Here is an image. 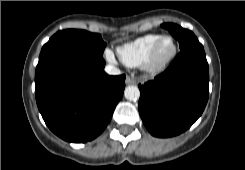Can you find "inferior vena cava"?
Returning a JSON list of instances; mask_svg holds the SVG:
<instances>
[{"mask_svg":"<svg viewBox=\"0 0 245 170\" xmlns=\"http://www.w3.org/2000/svg\"><path fill=\"white\" fill-rule=\"evenodd\" d=\"M105 72L109 75H119L121 73L120 70L113 65H106Z\"/></svg>","mask_w":245,"mask_h":170,"instance_id":"obj_1","label":"inferior vena cava"}]
</instances>
